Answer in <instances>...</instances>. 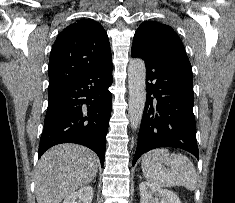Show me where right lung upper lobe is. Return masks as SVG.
<instances>
[{"instance_id":"obj_1","label":"right lung upper lobe","mask_w":235,"mask_h":203,"mask_svg":"<svg viewBox=\"0 0 235 203\" xmlns=\"http://www.w3.org/2000/svg\"><path fill=\"white\" fill-rule=\"evenodd\" d=\"M112 59L106 31L100 23L83 19L58 35L49 58V88L73 80Z\"/></svg>"}]
</instances>
